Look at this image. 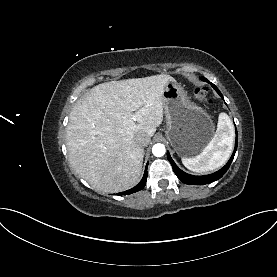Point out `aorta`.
<instances>
[{"label":"aorta","instance_id":"762f6f07","mask_svg":"<svg viewBox=\"0 0 277 277\" xmlns=\"http://www.w3.org/2000/svg\"><path fill=\"white\" fill-rule=\"evenodd\" d=\"M166 150H165V146L163 144H155L152 148V153L154 156L156 157H161L165 154Z\"/></svg>","mask_w":277,"mask_h":277}]
</instances>
